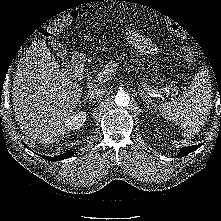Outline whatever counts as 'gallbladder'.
<instances>
[{
  "label": "gallbladder",
  "mask_w": 221,
  "mask_h": 221,
  "mask_svg": "<svg viewBox=\"0 0 221 221\" xmlns=\"http://www.w3.org/2000/svg\"><path fill=\"white\" fill-rule=\"evenodd\" d=\"M49 45L52 48L53 52L56 54V56L62 60V65L68 64V66H70V62L68 60L69 55L66 50V47H64V45L56 39L51 40V42H49Z\"/></svg>",
  "instance_id": "obj_1"
}]
</instances>
